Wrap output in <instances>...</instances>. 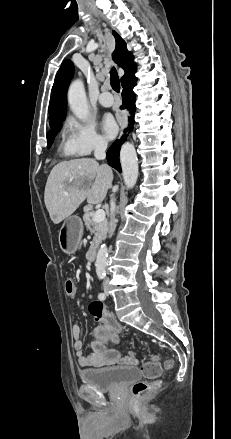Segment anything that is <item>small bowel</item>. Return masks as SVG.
I'll return each mask as SVG.
<instances>
[{
    "mask_svg": "<svg viewBox=\"0 0 231 439\" xmlns=\"http://www.w3.org/2000/svg\"><path fill=\"white\" fill-rule=\"evenodd\" d=\"M99 321L101 323L93 330L94 339L91 342V351L88 353L83 351L80 326L77 322L72 325L73 347L79 366L86 368L136 364L137 360L133 352L129 351L127 355L121 356L117 348L111 347L112 344L119 343V334L122 330L114 316L106 312L105 318Z\"/></svg>",
    "mask_w": 231,
    "mask_h": 439,
    "instance_id": "1",
    "label": "small bowel"
}]
</instances>
